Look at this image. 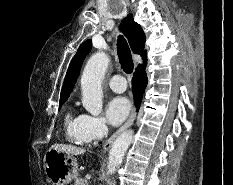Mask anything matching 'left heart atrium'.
I'll list each match as a JSON object with an SVG mask.
<instances>
[{
  "instance_id": "obj_1",
  "label": "left heart atrium",
  "mask_w": 233,
  "mask_h": 185,
  "mask_svg": "<svg viewBox=\"0 0 233 185\" xmlns=\"http://www.w3.org/2000/svg\"><path fill=\"white\" fill-rule=\"evenodd\" d=\"M130 102L123 96L113 97L106 107L107 120L112 125L122 123L130 112Z\"/></svg>"
}]
</instances>
